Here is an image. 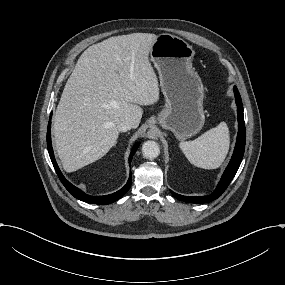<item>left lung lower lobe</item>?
Returning <instances> with one entry per match:
<instances>
[{
	"label": "left lung lower lobe",
	"instance_id": "0a47b994",
	"mask_svg": "<svg viewBox=\"0 0 285 285\" xmlns=\"http://www.w3.org/2000/svg\"><path fill=\"white\" fill-rule=\"evenodd\" d=\"M234 91L236 97L238 123H239L237 141L231 161L228 164L226 170L224 171L218 186L216 187L214 192L208 196H183L171 191L172 195L175 198L188 203L202 204V203L211 202L222 195V193L226 190V188L234 178L243 158L245 150V139H246L242 100L236 87L234 88Z\"/></svg>",
	"mask_w": 285,
	"mask_h": 285
}]
</instances>
